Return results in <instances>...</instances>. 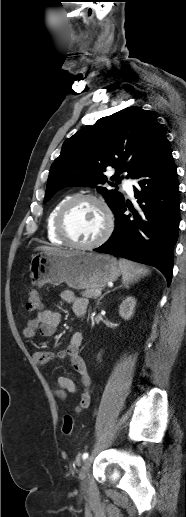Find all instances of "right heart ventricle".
Masks as SVG:
<instances>
[{"label": "right heart ventricle", "instance_id": "1", "mask_svg": "<svg viewBox=\"0 0 186 517\" xmlns=\"http://www.w3.org/2000/svg\"><path fill=\"white\" fill-rule=\"evenodd\" d=\"M71 198L70 195H66L58 200L49 210L46 221H45V229L47 239L56 245H63L65 242L58 236L56 232V217L62 208V206Z\"/></svg>", "mask_w": 186, "mask_h": 517}]
</instances>
